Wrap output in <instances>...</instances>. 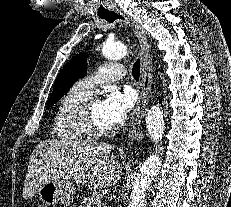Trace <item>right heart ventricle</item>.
Returning <instances> with one entry per match:
<instances>
[{
  "label": "right heart ventricle",
  "mask_w": 231,
  "mask_h": 207,
  "mask_svg": "<svg viewBox=\"0 0 231 207\" xmlns=\"http://www.w3.org/2000/svg\"><path fill=\"white\" fill-rule=\"evenodd\" d=\"M89 94L74 85L61 99L53 124L55 138L66 142H80L90 136L80 122V111Z\"/></svg>",
  "instance_id": "1"
}]
</instances>
